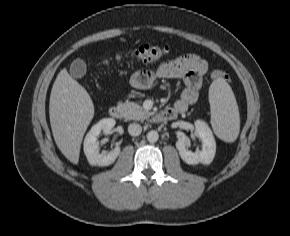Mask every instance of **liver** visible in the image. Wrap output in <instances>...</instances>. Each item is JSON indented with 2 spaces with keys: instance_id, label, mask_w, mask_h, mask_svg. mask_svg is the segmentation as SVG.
Instances as JSON below:
<instances>
[{
  "instance_id": "1",
  "label": "liver",
  "mask_w": 290,
  "mask_h": 236,
  "mask_svg": "<svg viewBox=\"0 0 290 236\" xmlns=\"http://www.w3.org/2000/svg\"><path fill=\"white\" fill-rule=\"evenodd\" d=\"M93 116L88 92L62 69L51 90L49 117L57 147L73 164L79 161L82 139Z\"/></svg>"
}]
</instances>
